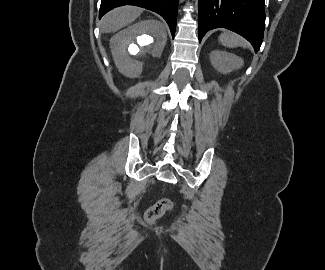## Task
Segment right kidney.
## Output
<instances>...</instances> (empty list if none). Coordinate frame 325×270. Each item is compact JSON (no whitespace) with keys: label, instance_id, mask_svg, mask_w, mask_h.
<instances>
[{"label":"right kidney","instance_id":"1","mask_svg":"<svg viewBox=\"0 0 325 270\" xmlns=\"http://www.w3.org/2000/svg\"><path fill=\"white\" fill-rule=\"evenodd\" d=\"M166 41L164 26L156 20H145L115 34L110 48L118 70L126 77L137 78L152 59L162 54Z\"/></svg>","mask_w":325,"mask_h":270}]
</instances>
